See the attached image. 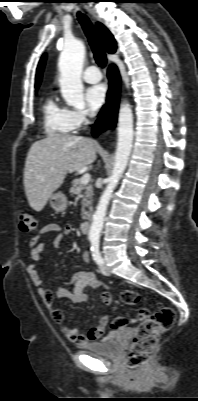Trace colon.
<instances>
[{"mask_svg": "<svg viewBox=\"0 0 198 401\" xmlns=\"http://www.w3.org/2000/svg\"><path fill=\"white\" fill-rule=\"evenodd\" d=\"M18 222L23 232L32 233L37 229V219L29 211H19ZM139 300L140 296L134 290L125 289L121 292V301L124 304L134 306L139 303ZM175 318V312L170 307H159L154 311L142 308L137 312L136 319L139 325L133 336L127 358L130 369L140 370L148 363L161 335L173 326ZM126 324L127 320L124 317H116L111 321L110 326L113 329H121Z\"/></svg>", "mask_w": 198, "mask_h": 401, "instance_id": "1", "label": "colon"}]
</instances>
